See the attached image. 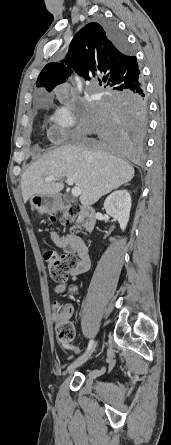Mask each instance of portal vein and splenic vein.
I'll use <instances>...</instances> for the list:
<instances>
[{
	"label": "portal vein and splenic vein",
	"mask_w": 171,
	"mask_h": 445,
	"mask_svg": "<svg viewBox=\"0 0 171 445\" xmlns=\"http://www.w3.org/2000/svg\"><path fill=\"white\" fill-rule=\"evenodd\" d=\"M53 180H55L54 176H49L45 178V182H51ZM66 183L71 186L74 184V180L72 178H67ZM71 193L74 197H78L81 194V190L79 187L75 186L72 188Z\"/></svg>",
	"instance_id": "1"
}]
</instances>
